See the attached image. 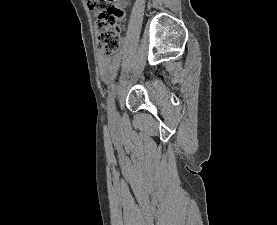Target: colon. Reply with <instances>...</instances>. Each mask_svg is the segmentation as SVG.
Returning a JSON list of instances; mask_svg holds the SVG:
<instances>
[{
  "label": "colon",
  "mask_w": 277,
  "mask_h": 225,
  "mask_svg": "<svg viewBox=\"0 0 277 225\" xmlns=\"http://www.w3.org/2000/svg\"><path fill=\"white\" fill-rule=\"evenodd\" d=\"M88 7L98 12L95 22V35L100 51L104 55H113L120 51L121 22L124 11L115 0H87Z\"/></svg>",
  "instance_id": "colon-1"
}]
</instances>
